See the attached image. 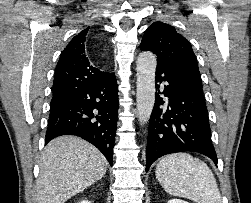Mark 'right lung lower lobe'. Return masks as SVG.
Instances as JSON below:
<instances>
[{
    "label": "right lung lower lobe",
    "mask_w": 251,
    "mask_h": 203,
    "mask_svg": "<svg viewBox=\"0 0 251 203\" xmlns=\"http://www.w3.org/2000/svg\"><path fill=\"white\" fill-rule=\"evenodd\" d=\"M117 93L118 85L111 74L51 103L45 144L61 135H76L97 147L112 165L119 107Z\"/></svg>",
    "instance_id": "obj_1"
}]
</instances>
